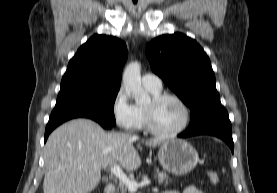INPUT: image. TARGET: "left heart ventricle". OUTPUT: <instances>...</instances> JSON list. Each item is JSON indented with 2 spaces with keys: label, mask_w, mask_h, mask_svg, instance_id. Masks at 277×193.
Returning <instances> with one entry per match:
<instances>
[{
  "label": "left heart ventricle",
  "mask_w": 277,
  "mask_h": 193,
  "mask_svg": "<svg viewBox=\"0 0 277 193\" xmlns=\"http://www.w3.org/2000/svg\"><path fill=\"white\" fill-rule=\"evenodd\" d=\"M149 101L145 107H149ZM185 118L181 105L173 99H166L154 108L156 126L162 131H173L179 128Z\"/></svg>",
  "instance_id": "left-heart-ventricle-1"
}]
</instances>
